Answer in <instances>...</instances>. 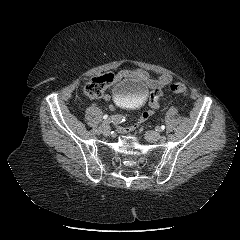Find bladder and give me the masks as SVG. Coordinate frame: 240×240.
I'll list each match as a JSON object with an SVG mask.
<instances>
[{
    "label": "bladder",
    "instance_id": "bladder-1",
    "mask_svg": "<svg viewBox=\"0 0 240 240\" xmlns=\"http://www.w3.org/2000/svg\"><path fill=\"white\" fill-rule=\"evenodd\" d=\"M113 93L119 105L131 108L140 103L147 90L141 81L124 79L115 86Z\"/></svg>",
    "mask_w": 240,
    "mask_h": 240
}]
</instances>
